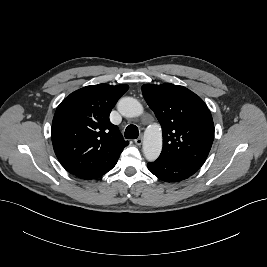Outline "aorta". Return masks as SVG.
<instances>
[{
	"instance_id": "1",
	"label": "aorta",
	"mask_w": 267,
	"mask_h": 267,
	"mask_svg": "<svg viewBox=\"0 0 267 267\" xmlns=\"http://www.w3.org/2000/svg\"><path fill=\"white\" fill-rule=\"evenodd\" d=\"M117 109L124 117H138L143 113L141 103L132 97L121 98ZM162 150V130L158 124L148 126L144 134L143 153L148 161H155Z\"/></svg>"
}]
</instances>
